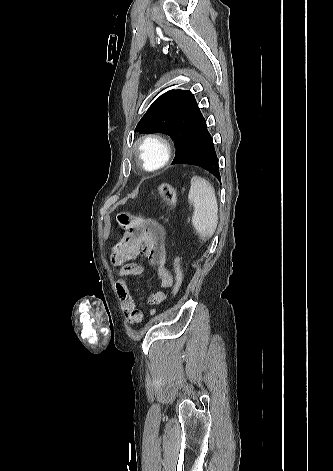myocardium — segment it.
Returning a JSON list of instances; mask_svg holds the SVG:
<instances>
[{
  "mask_svg": "<svg viewBox=\"0 0 333 471\" xmlns=\"http://www.w3.org/2000/svg\"><path fill=\"white\" fill-rule=\"evenodd\" d=\"M152 145L160 149L161 157L154 166L149 167L145 161V150L148 146ZM136 152L140 167L147 172H155L162 169L168 163L171 156V146L165 137L158 134H150L142 137L136 143Z\"/></svg>",
  "mask_w": 333,
  "mask_h": 471,
  "instance_id": "myocardium-1",
  "label": "myocardium"
}]
</instances>
